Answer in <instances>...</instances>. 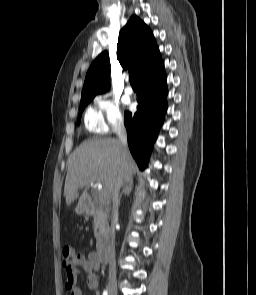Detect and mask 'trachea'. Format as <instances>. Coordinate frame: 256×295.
I'll return each mask as SVG.
<instances>
[{
    "label": "trachea",
    "mask_w": 256,
    "mask_h": 295,
    "mask_svg": "<svg viewBox=\"0 0 256 295\" xmlns=\"http://www.w3.org/2000/svg\"><path fill=\"white\" fill-rule=\"evenodd\" d=\"M129 81H130V84L131 85H136V82H135V79H134V76L133 75H130L129 76Z\"/></svg>",
    "instance_id": "obj_1"
}]
</instances>
